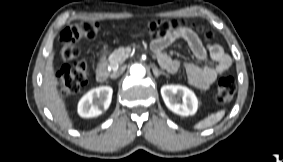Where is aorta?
Here are the masks:
<instances>
[{
  "mask_svg": "<svg viewBox=\"0 0 283 162\" xmlns=\"http://www.w3.org/2000/svg\"><path fill=\"white\" fill-rule=\"evenodd\" d=\"M130 74L136 78H142L146 74L145 68L140 64H134L130 67Z\"/></svg>",
  "mask_w": 283,
  "mask_h": 162,
  "instance_id": "762f6f07",
  "label": "aorta"
}]
</instances>
